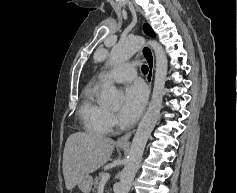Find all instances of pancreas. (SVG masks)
<instances>
[{"label":"pancreas","instance_id":"1","mask_svg":"<svg viewBox=\"0 0 237 193\" xmlns=\"http://www.w3.org/2000/svg\"><path fill=\"white\" fill-rule=\"evenodd\" d=\"M103 174H104V172H100V173H99V176L96 177V179H95V181H94V188H97L98 185L100 184L101 178H102Z\"/></svg>","mask_w":237,"mask_h":193}]
</instances>
